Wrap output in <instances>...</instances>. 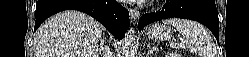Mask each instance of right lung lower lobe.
<instances>
[{
	"label": "right lung lower lobe",
	"instance_id": "right-lung-lower-lobe-1",
	"mask_svg": "<svg viewBox=\"0 0 249 57\" xmlns=\"http://www.w3.org/2000/svg\"><path fill=\"white\" fill-rule=\"evenodd\" d=\"M79 10L94 17L119 40L127 31L129 12L121 4L111 0H38L34 31L51 15L67 10Z\"/></svg>",
	"mask_w": 249,
	"mask_h": 57
}]
</instances>
